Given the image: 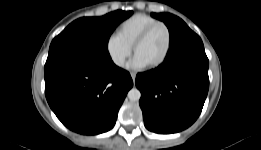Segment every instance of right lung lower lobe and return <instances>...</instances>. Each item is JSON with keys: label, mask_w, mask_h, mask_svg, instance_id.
Listing matches in <instances>:
<instances>
[{"label": "right lung lower lobe", "mask_w": 261, "mask_h": 150, "mask_svg": "<svg viewBox=\"0 0 261 150\" xmlns=\"http://www.w3.org/2000/svg\"><path fill=\"white\" fill-rule=\"evenodd\" d=\"M44 77L46 99L53 112L67 128L85 135L100 134L115 125L133 86L130 74L111 57L48 56Z\"/></svg>", "instance_id": "98d812e1"}]
</instances>
